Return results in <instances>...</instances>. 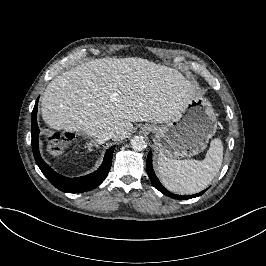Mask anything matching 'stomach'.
<instances>
[{
	"label": "stomach",
	"mask_w": 266,
	"mask_h": 266,
	"mask_svg": "<svg viewBox=\"0 0 266 266\" xmlns=\"http://www.w3.org/2000/svg\"><path fill=\"white\" fill-rule=\"evenodd\" d=\"M217 127L211 102L204 97H193L187 108L169 122L146 124L142 130L155 134L154 144L165 157L181 159L202 152Z\"/></svg>",
	"instance_id": "1"
}]
</instances>
